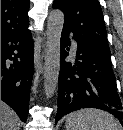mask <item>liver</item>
<instances>
[{
	"label": "liver",
	"instance_id": "6515ba94",
	"mask_svg": "<svg viewBox=\"0 0 123 130\" xmlns=\"http://www.w3.org/2000/svg\"><path fill=\"white\" fill-rule=\"evenodd\" d=\"M1 130H20V120L16 113L1 101Z\"/></svg>",
	"mask_w": 123,
	"mask_h": 130
}]
</instances>
